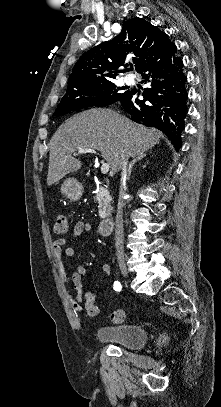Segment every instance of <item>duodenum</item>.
Here are the masks:
<instances>
[{
  "label": "duodenum",
  "instance_id": "duodenum-1",
  "mask_svg": "<svg viewBox=\"0 0 221 407\" xmlns=\"http://www.w3.org/2000/svg\"><path fill=\"white\" fill-rule=\"evenodd\" d=\"M114 226V216L111 213L108 217L103 219L99 224V233L102 236L109 235Z\"/></svg>",
  "mask_w": 221,
  "mask_h": 407
}]
</instances>
